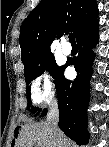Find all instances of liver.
I'll list each match as a JSON object with an SVG mask.
<instances>
[{
	"label": "liver",
	"instance_id": "liver-1",
	"mask_svg": "<svg viewBox=\"0 0 109 147\" xmlns=\"http://www.w3.org/2000/svg\"><path fill=\"white\" fill-rule=\"evenodd\" d=\"M15 147H74L61 130L52 133L46 122L22 126Z\"/></svg>",
	"mask_w": 109,
	"mask_h": 147
}]
</instances>
